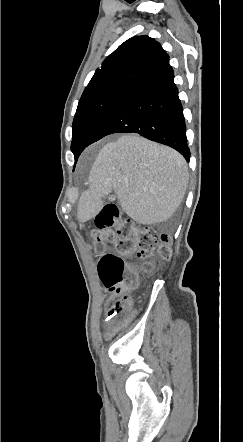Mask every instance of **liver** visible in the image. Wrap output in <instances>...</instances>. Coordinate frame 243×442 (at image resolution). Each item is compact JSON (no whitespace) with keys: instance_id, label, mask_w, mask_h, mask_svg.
<instances>
[{"instance_id":"6515ba94","label":"liver","mask_w":243,"mask_h":442,"mask_svg":"<svg viewBox=\"0 0 243 442\" xmlns=\"http://www.w3.org/2000/svg\"><path fill=\"white\" fill-rule=\"evenodd\" d=\"M188 180V166L180 153L138 135H122L98 153L90 171V188L78 202L77 219L84 223L98 215L102 197L114 191L135 222H165L181 204Z\"/></svg>"}]
</instances>
